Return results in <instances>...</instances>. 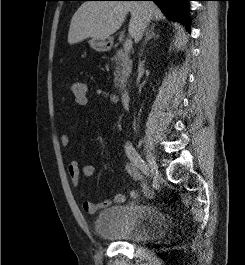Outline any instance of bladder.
Returning a JSON list of instances; mask_svg holds the SVG:
<instances>
[{"label": "bladder", "instance_id": "1", "mask_svg": "<svg viewBox=\"0 0 245 265\" xmlns=\"http://www.w3.org/2000/svg\"><path fill=\"white\" fill-rule=\"evenodd\" d=\"M94 230L100 237L142 243L163 236L168 227L159 209L150 204L134 203L100 211L95 217Z\"/></svg>", "mask_w": 245, "mask_h": 265}]
</instances>
